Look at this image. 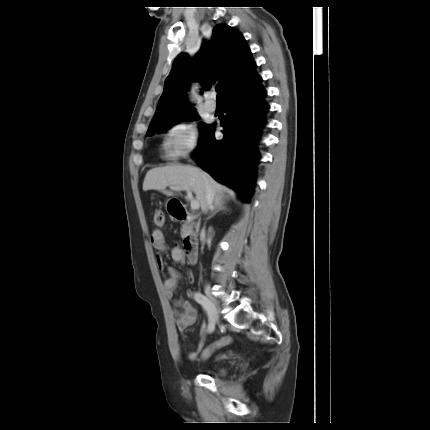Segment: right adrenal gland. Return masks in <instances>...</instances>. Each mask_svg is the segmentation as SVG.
<instances>
[{
	"label": "right adrenal gland",
	"mask_w": 430,
	"mask_h": 430,
	"mask_svg": "<svg viewBox=\"0 0 430 430\" xmlns=\"http://www.w3.org/2000/svg\"><path fill=\"white\" fill-rule=\"evenodd\" d=\"M221 210H227L225 202H219L215 204V206L211 209L212 214L207 218V220L215 216V214Z\"/></svg>",
	"instance_id": "obj_1"
}]
</instances>
